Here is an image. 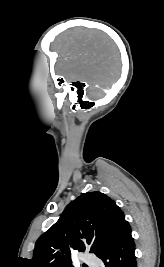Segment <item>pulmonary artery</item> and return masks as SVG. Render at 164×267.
Listing matches in <instances>:
<instances>
[{
    "label": "pulmonary artery",
    "mask_w": 164,
    "mask_h": 267,
    "mask_svg": "<svg viewBox=\"0 0 164 267\" xmlns=\"http://www.w3.org/2000/svg\"><path fill=\"white\" fill-rule=\"evenodd\" d=\"M86 263L89 265H93L94 267H97L96 260L94 258H86Z\"/></svg>",
    "instance_id": "obj_1"
}]
</instances>
